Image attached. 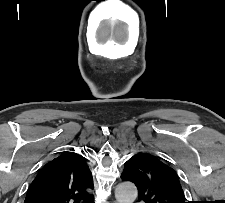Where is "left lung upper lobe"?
<instances>
[{
    "mask_svg": "<svg viewBox=\"0 0 225 203\" xmlns=\"http://www.w3.org/2000/svg\"><path fill=\"white\" fill-rule=\"evenodd\" d=\"M138 188L139 201L146 203H186L176 172L156 156L137 153L126 163L121 175Z\"/></svg>",
    "mask_w": 225,
    "mask_h": 203,
    "instance_id": "5c2ea615",
    "label": "left lung upper lobe"
}]
</instances>
